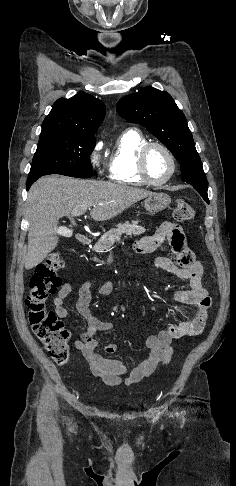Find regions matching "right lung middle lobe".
Instances as JSON below:
<instances>
[{
    "instance_id": "obj_1",
    "label": "right lung middle lobe",
    "mask_w": 236,
    "mask_h": 486,
    "mask_svg": "<svg viewBox=\"0 0 236 486\" xmlns=\"http://www.w3.org/2000/svg\"><path fill=\"white\" fill-rule=\"evenodd\" d=\"M95 143L94 136L41 132L28 180L48 174L91 177L93 170L90 154Z\"/></svg>"
}]
</instances>
